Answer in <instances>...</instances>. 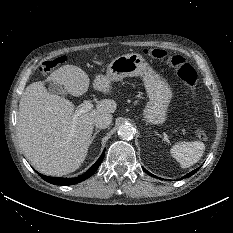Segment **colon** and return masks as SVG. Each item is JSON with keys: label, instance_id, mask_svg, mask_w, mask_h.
I'll return each mask as SVG.
<instances>
[{"label": "colon", "instance_id": "1", "mask_svg": "<svg viewBox=\"0 0 233 233\" xmlns=\"http://www.w3.org/2000/svg\"><path fill=\"white\" fill-rule=\"evenodd\" d=\"M144 54L156 58V59H166L167 63L176 69L179 78L188 86L193 95H196L197 90V72L187 60L178 54H170L166 50L161 48L145 49ZM67 60L66 56L61 55L54 59L43 62L41 65V72L47 74L51 72L55 67L65 63ZM196 135L201 140L207 139V133L198 128Z\"/></svg>", "mask_w": 233, "mask_h": 233}]
</instances>
